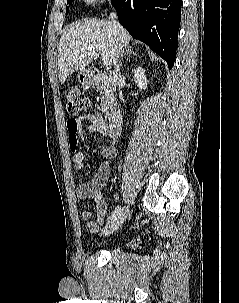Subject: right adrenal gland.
I'll list each match as a JSON object with an SVG mask.
<instances>
[{
	"label": "right adrenal gland",
	"instance_id": "2a0ac1e0",
	"mask_svg": "<svg viewBox=\"0 0 239 303\" xmlns=\"http://www.w3.org/2000/svg\"><path fill=\"white\" fill-rule=\"evenodd\" d=\"M130 56V55H136V53L133 51L131 46H127L123 49L122 54H121V60L123 59V56ZM122 66V64H120Z\"/></svg>",
	"mask_w": 239,
	"mask_h": 303
}]
</instances>
